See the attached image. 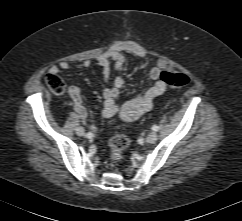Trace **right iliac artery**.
Returning a JSON list of instances; mask_svg holds the SVG:
<instances>
[{
	"label": "right iliac artery",
	"instance_id": "right-iliac-artery-1",
	"mask_svg": "<svg viewBox=\"0 0 242 221\" xmlns=\"http://www.w3.org/2000/svg\"><path fill=\"white\" fill-rule=\"evenodd\" d=\"M93 136V134L91 132L87 133V137L91 138Z\"/></svg>",
	"mask_w": 242,
	"mask_h": 221
}]
</instances>
